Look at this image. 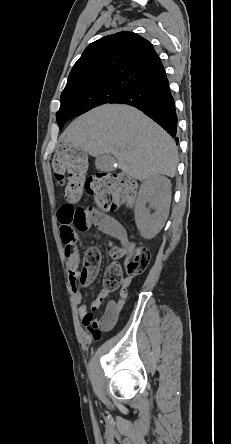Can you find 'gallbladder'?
Listing matches in <instances>:
<instances>
[{"label":"gallbladder","mask_w":231,"mask_h":444,"mask_svg":"<svg viewBox=\"0 0 231 444\" xmlns=\"http://www.w3.org/2000/svg\"><path fill=\"white\" fill-rule=\"evenodd\" d=\"M105 161L111 162L112 160L110 159V157L108 155H101V156L97 157L96 161H95L96 168L101 171L112 170L110 165L106 166L104 164Z\"/></svg>","instance_id":"gallbladder-1"}]
</instances>
